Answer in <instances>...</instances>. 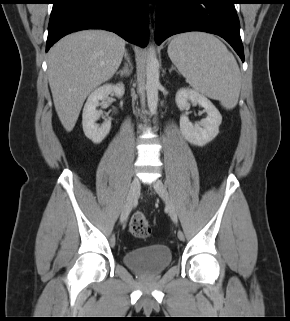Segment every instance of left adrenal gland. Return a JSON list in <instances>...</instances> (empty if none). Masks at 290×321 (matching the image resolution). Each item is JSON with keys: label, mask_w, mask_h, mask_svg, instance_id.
I'll return each instance as SVG.
<instances>
[{"label": "left adrenal gland", "mask_w": 290, "mask_h": 321, "mask_svg": "<svg viewBox=\"0 0 290 321\" xmlns=\"http://www.w3.org/2000/svg\"><path fill=\"white\" fill-rule=\"evenodd\" d=\"M172 70H176L173 65H172V67H171V69L169 71L171 72Z\"/></svg>", "instance_id": "1"}]
</instances>
